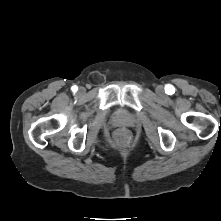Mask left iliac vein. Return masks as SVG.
<instances>
[{"label":"left iliac vein","instance_id":"obj_1","mask_svg":"<svg viewBox=\"0 0 221 221\" xmlns=\"http://www.w3.org/2000/svg\"><path fill=\"white\" fill-rule=\"evenodd\" d=\"M156 93L160 96L164 95V88L162 86H157Z\"/></svg>","mask_w":221,"mask_h":221}]
</instances>
